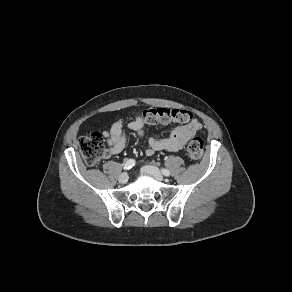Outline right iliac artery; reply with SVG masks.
<instances>
[{"label": "right iliac artery", "mask_w": 292, "mask_h": 292, "mask_svg": "<svg viewBox=\"0 0 292 292\" xmlns=\"http://www.w3.org/2000/svg\"><path fill=\"white\" fill-rule=\"evenodd\" d=\"M135 160L134 159H129V160H127L126 161V163L124 164V166H123V169L124 170H129V169H131L134 165H135Z\"/></svg>", "instance_id": "82829eb1"}]
</instances>
